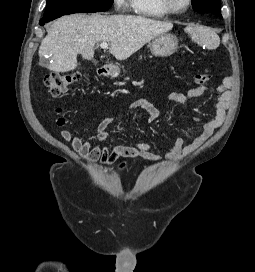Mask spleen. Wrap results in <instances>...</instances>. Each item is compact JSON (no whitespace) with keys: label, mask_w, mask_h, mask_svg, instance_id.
Instances as JSON below:
<instances>
[{"label":"spleen","mask_w":255,"mask_h":272,"mask_svg":"<svg viewBox=\"0 0 255 272\" xmlns=\"http://www.w3.org/2000/svg\"><path fill=\"white\" fill-rule=\"evenodd\" d=\"M193 42L198 45H206L208 49H216L220 44V38L217 33L208 27L187 26L185 28Z\"/></svg>","instance_id":"spleen-1"}]
</instances>
